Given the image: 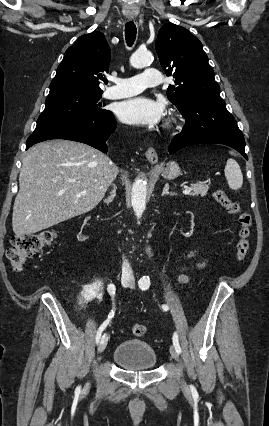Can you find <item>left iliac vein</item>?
I'll list each match as a JSON object with an SVG mask.
<instances>
[{
    "label": "left iliac vein",
    "instance_id": "4c4485c4",
    "mask_svg": "<svg viewBox=\"0 0 269 426\" xmlns=\"http://www.w3.org/2000/svg\"><path fill=\"white\" fill-rule=\"evenodd\" d=\"M134 287H135V283H134V281H132L131 284H130V288L133 289ZM170 354H171V356L174 360H176V361L179 360L178 352L176 351L174 346H170ZM182 385L184 387L186 386L184 381H182Z\"/></svg>",
    "mask_w": 269,
    "mask_h": 426
}]
</instances>
